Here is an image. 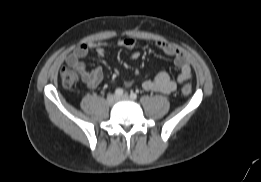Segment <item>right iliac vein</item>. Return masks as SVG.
<instances>
[{
  "label": "right iliac vein",
  "mask_w": 261,
  "mask_h": 182,
  "mask_svg": "<svg viewBox=\"0 0 261 182\" xmlns=\"http://www.w3.org/2000/svg\"><path fill=\"white\" fill-rule=\"evenodd\" d=\"M117 96L116 95H114V94H110V95H108V97H107V103H108V105H110V106H113L116 102H117Z\"/></svg>",
  "instance_id": "obj_1"
}]
</instances>
